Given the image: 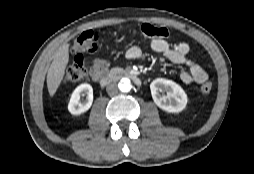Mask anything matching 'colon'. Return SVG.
<instances>
[{
  "label": "colon",
  "instance_id": "1",
  "mask_svg": "<svg viewBox=\"0 0 254 174\" xmlns=\"http://www.w3.org/2000/svg\"><path fill=\"white\" fill-rule=\"evenodd\" d=\"M141 34L147 38L167 39L170 36L169 30L165 27L143 24L140 28ZM98 35L92 31L82 33L72 45L73 63L66 69L65 81L78 82L88 74L85 54L93 53L98 49ZM212 83L204 82L201 87L203 95H209L212 91Z\"/></svg>",
  "mask_w": 254,
  "mask_h": 174
}]
</instances>
